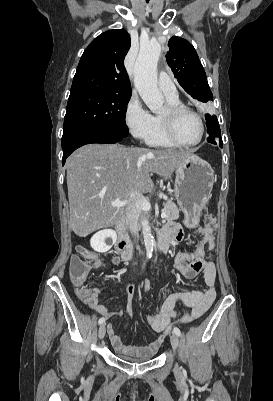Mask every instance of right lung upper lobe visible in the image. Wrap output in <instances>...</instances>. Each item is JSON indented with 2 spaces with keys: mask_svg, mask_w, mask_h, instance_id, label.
<instances>
[{
  "mask_svg": "<svg viewBox=\"0 0 273 401\" xmlns=\"http://www.w3.org/2000/svg\"><path fill=\"white\" fill-rule=\"evenodd\" d=\"M131 46L124 29L109 30L85 49L75 73L70 96L83 93L131 95L124 58Z\"/></svg>",
  "mask_w": 273,
  "mask_h": 401,
  "instance_id": "1",
  "label": "right lung upper lobe"
}]
</instances>
